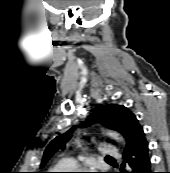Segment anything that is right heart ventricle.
<instances>
[{"instance_id":"e07e8e85","label":"right heart ventricle","mask_w":170,"mask_h":173,"mask_svg":"<svg viewBox=\"0 0 170 173\" xmlns=\"http://www.w3.org/2000/svg\"><path fill=\"white\" fill-rule=\"evenodd\" d=\"M73 166V162H71L69 159H63L60 163H59V168L60 169H65V170H70L72 169Z\"/></svg>"}]
</instances>
